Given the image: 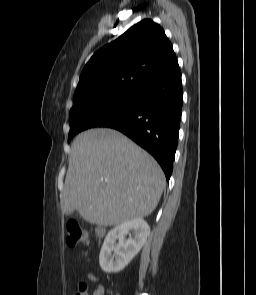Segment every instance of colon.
I'll return each instance as SVG.
<instances>
[{
	"instance_id": "obj_1",
	"label": "colon",
	"mask_w": 256,
	"mask_h": 295,
	"mask_svg": "<svg viewBox=\"0 0 256 295\" xmlns=\"http://www.w3.org/2000/svg\"><path fill=\"white\" fill-rule=\"evenodd\" d=\"M66 233V244L70 249H76L88 242L87 232L76 222H67ZM74 295H86V285L80 284Z\"/></svg>"
}]
</instances>
